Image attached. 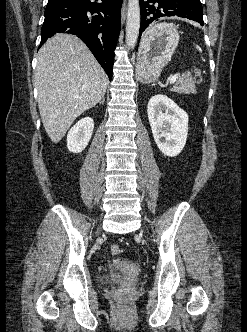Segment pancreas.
<instances>
[{"label":"pancreas","mask_w":247,"mask_h":332,"mask_svg":"<svg viewBox=\"0 0 247 332\" xmlns=\"http://www.w3.org/2000/svg\"><path fill=\"white\" fill-rule=\"evenodd\" d=\"M173 91L185 94L194 92L195 85L192 77L188 74H183L177 80L176 85L173 87Z\"/></svg>","instance_id":"cf45deb5"}]
</instances>
